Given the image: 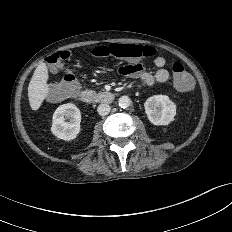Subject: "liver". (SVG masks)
Here are the masks:
<instances>
[{
    "label": "liver",
    "instance_id": "liver-1",
    "mask_svg": "<svg viewBox=\"0 0 232 232\" xmlns=\"http://www.w3.org/2000/svg\"><path fill=\"white\" fill-rule=\"evenodd\" d=\"M48 69L45 63L41 62L34 71L28 86V98L30 107L36 111L40 108L43 100L48 94L49 86Z\"/></svg>",
    "mask_w": 232,
    "mask_h": 232
}]
</instances>
